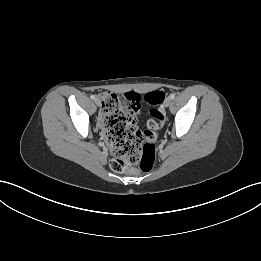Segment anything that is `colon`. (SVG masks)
<instances>
[{"mask_svg":"<svg viewBox=\"0 0 261 261\" xmlns=\"http://www.w3.org/2000/svg\"><path fill=\"white\" fill-rule=\"evenodd\" d=\"M165 93L152 91L141 97L131 94L122 103L120 98L111 92L100 94L102 100L101 131L111 148V169L124 173L137 166L141 171L151 170L155 161L156 130L167 124L166 110L163 107L150 110L151 119L142 134L133 122L132 111L139 109L143 102L157 106L162 103Z\"/></svg>","mask_w":261,"mask_h":261,"instance_id":"1","label":"colon"}]
</instances>
